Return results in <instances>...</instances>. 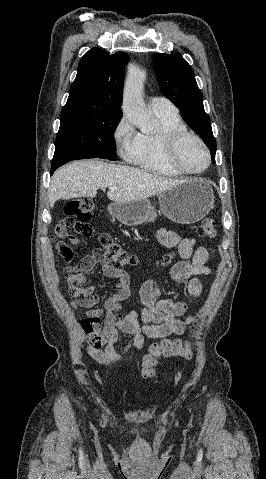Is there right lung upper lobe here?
<instances>
[{
  "label": "right lung upper lobe",
  "instance_id": "obj_1",
  "mask_svg": "<svg viewBox=\"0 0 266 479\" xmlns=\"http://www.w3.org/2000/svg\"><path fill=\"white\" fill-rule=\"evenodd\" d=\"M128 59L124 52L110 55L98 47L86 52L80 59L61 115H122L124 70Z\"/></svg>",
  "mask_w": 266,
  "mask_h": 479
}]
</instances>
